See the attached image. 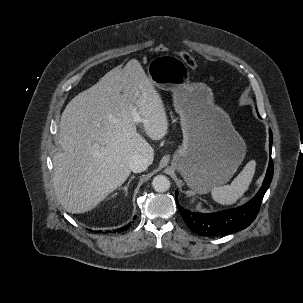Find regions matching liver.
I'll return each instance as SVG.
<instances>
[{
  "instance_id": "1",
  "label": "liver",
  "mask_w": 303,
  "mask_h": 303,
  "mask_svg": "<svg viewBox=\"0 0 303 303\" xmlns=\"http://www.w3.org/2000/svg\"><path fill=\"white\" fill-rule=\"evenodd\" d=\"M141 117L152 140L168 132L163 101L137 59L105 74L75 96L64 109L53 157L54 189L69 213L96 207L130 175L129 161L141 154L150 160L154 149L137 132L132 111Z\"/></svg>"
}]
</instances>
